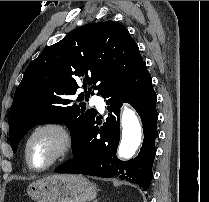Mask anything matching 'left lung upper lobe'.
Here are the masks:
<instances>
[{
    "mask_svg": "<svg viewBox=\"0 0 209 202\" xmlns=\"http://www.w3.org/2000/svg\"><path fill=\"white\" fill-rule=\"evenodd\" d=\"M144 61L136 42L120 23L87 24L49 46L25 70L9 113V141L13 152L32 127L65 124L72 146L80 141L95 119L96 110L85 109L71 97L80 85L90 89L77 101L90 97L91 89L103 96Z\"/></svg>",
    "mask_w": 209,
    "mask_h": 202,
    "instance_id": "left-lung-upper-lobe-1",
    "label": "left lung upper lobe"
}]
</instances>
